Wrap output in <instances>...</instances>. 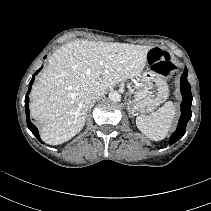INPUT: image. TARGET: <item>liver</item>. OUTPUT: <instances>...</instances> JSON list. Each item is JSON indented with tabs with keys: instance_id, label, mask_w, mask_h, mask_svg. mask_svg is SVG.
<instances>
[{
	"instance_id": "liver-1",
	"label": "liver",
	"mask_w": 211,
	"mask_h": 211,
	"mask_svg": "<svg viewBox=\"0 0 211 211\" xmlns=\"http://www.w3.org/2000/svg\"><path fill=\"white\" fill-rule=\"evenodd\" d=\"M150 46L75 40L48 61L30 93V113L40 137L59 145L77 135L97 89L106 90L143 71Z\"/></svg>"
}]
</instances>
